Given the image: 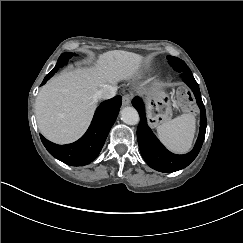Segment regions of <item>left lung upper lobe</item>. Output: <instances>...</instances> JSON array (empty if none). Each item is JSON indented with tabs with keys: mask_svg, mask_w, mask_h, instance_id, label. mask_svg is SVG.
<instances>
[{
	"mask_svg": "<svg viewBox=\"0 0 243 243\" xmlns=\"http://www.w3.org/2000/svg\"><path fill=\"white\" fill-rule=\"evenodd\" d=\"M168 62L169 64L174 68V70L176 71H191L189 69V67L186 65V63L177 58V57H173V56H167Z\"/></svg>",
	"mask_w": 243,
	"mask_h": 243,
	"instance_id": "obj_1",
	"label": "left lung upper lobe"
}]
</instances>
